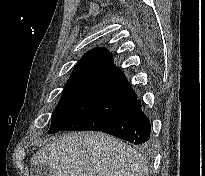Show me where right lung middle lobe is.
Wrapping results in <instances>:
<instances>
[{
    "label": "right lung middle lobe",
    "instance_id": "right-lung-middle-lobe-1",
    "mask_svg": "<svg viewBox=\"0 0 205 176\" xmlns=\"http://www.w3.org/2000/svg\"><path fill=\"white\" fill-rule=\"evenodd\" d=\"M130 101L101 93L63 96L52 114L48 134L66 130L101 131L122 114Z\"/></svg>",
    "mask_w": 205,
    "mask_h": 176
}]
</instances>
